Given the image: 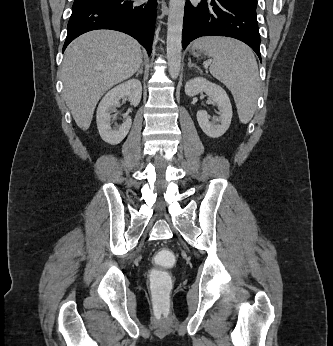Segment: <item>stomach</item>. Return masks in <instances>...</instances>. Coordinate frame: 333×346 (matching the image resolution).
<instances>
[{"label": "stomach", "mask_w": 333, "mask_h": 346, "mask_svg": "<svg viewBox=\"0 0 333 346\" xmlns=\"http://www.w3.org/2000/svg\"><path fill=\"white\" fill-rule=\"evenodd\" d=\"M203 50L197 49V48H192V54L196 57L200 56Z\"/></svg>", "instance_id": "stomach-1"}]
</instances>
